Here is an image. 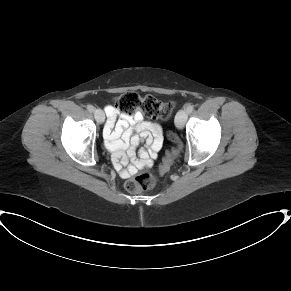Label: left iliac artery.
Listing matches in <instances>:
<instances>
[{"label": "left iliac artery", "instance_id": "left-iliac-artery-1", "mask_svg": "<svg viewBox=\"0 0 291 291\" xmlns=\"http://www.w3.org/2000/svg\"><path fill=\"white\" fill-rule=\"evenodd\" d=\"M193 110H194L193 105H191V104L187 105V107H186V111H187L188 113H191Z\"/></svg>", "mask_w": 291, "mask_h": 291}]
</instances>
